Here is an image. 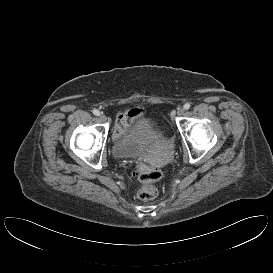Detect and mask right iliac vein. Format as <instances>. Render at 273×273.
<instances>
[{
    "mask_svg": "<svg viewBox=\"0 0 273 273\" xmlns=\"http://www.w3.org/2000/svg\"><path fill=\"white\" fill-rule=\"evenodd\" d=\"M100 119L105 122L107 120V117L104 114H101Z\"/></svg>",
    "mask_w": 273,
    "mask_h": 273,
    "instance_id": "1",
    "label": "right iliac vein"
}]
</instances>
